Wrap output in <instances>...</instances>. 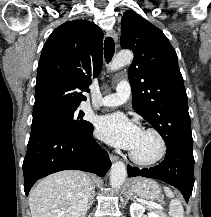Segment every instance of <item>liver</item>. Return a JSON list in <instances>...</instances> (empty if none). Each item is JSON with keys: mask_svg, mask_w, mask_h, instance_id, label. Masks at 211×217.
<instances>
[{"mask_svg": "<svg viewBox=\"0 0 211 217\" xmlns=\"http://www.w3.org/2000/svg\"><path fill=\"white\" fill-rule=\"evenodd\" d=\"M94 184L90 176L76 170L51 174L29 194L32 217H85Z\"/></svg>", "mask_w": 211, "mask_h": 217, "instance_id": "1", "label": "liver"}]
</instances>
